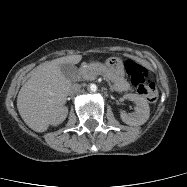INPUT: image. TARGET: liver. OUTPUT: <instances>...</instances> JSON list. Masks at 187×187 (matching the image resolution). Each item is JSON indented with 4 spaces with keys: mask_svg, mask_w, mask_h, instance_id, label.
Instances as JSON below:
<instances>
[{
    "mask_svg": "<svg viewBox=\"0 0 187 187\" xmlns=\"http://www.w3.org/2000/svg\"><path fill=\"white\" fill-rule=\"evenodd\" d=\"M81 59L82 55L57 58L39 65L31 72L18 93L17 108L23 121L32 130L46 131L66 103L71 81L64 76L60 65H75Z\"/></svg>",
    "mask_w": 187,
    "mask_h": 187,
    "instance_id": "obj_1",
    "label": "liver"
}]
</instances>
